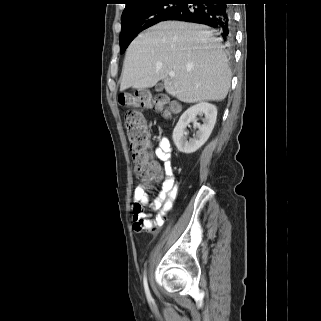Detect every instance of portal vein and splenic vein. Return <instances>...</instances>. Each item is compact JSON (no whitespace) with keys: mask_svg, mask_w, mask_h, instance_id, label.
I'll list each match as a JSON object with an SVG mask.
<instances>
[{"mask_svg":"<svg viewBox=\"0 0 321 321\" xmlns=\"http://www.w3.org/2000/svg\"><path fill=\"white\" fill-rule=\"evenodd\" d=\"M169 77L174 78L175 77V73L173 71L169 72Z\"/></svg>","mask_w":321,"mask_h":321,"instance_id":"portal-vein-and-splenic-vein-1","label":"portal vein and splenic vein"}]
</instances>
